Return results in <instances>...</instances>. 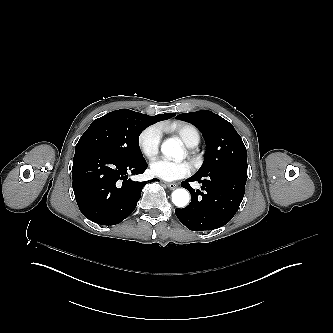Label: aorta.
I'll return each instance as SVG.
<instances>
[{
    "mask_svg": "<svg viewBox=\"0 0 333 333\" xmlns=\"http://www.w3.org/2000/svg\"><path fill=\"white\" fill-rule=\"evenodd\" d=\"M161 152L172 158H179L183 154L181 141L176 138H169L163 142ZM172 202L177 207H185L189 202V192L186 189H176L172 192Z\"/></svg>",
    "mask_w": 333,
    "mask_h": 333,
    "instance_id": "1",
    "label": "aorta"
}]
</instances>
